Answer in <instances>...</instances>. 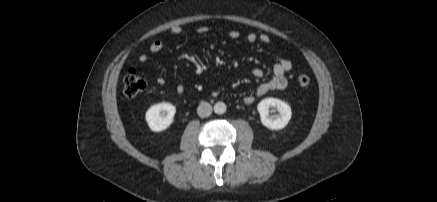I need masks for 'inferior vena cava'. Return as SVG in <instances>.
<instances>
[{"label": "inferior vena cava", "mask_w": 437, "mask_h": 202, "mask_svg": "<svg viewBox=\"0 0 437 202\" xmlns=\"http://www.w3.org/2000/svg\"><path fill=\"white\" fill-rule=\"evenodd\" d=\"M212 113V106L208 102H201L197 108V114L202 117H208Z\"/></svg>", "instance_id": "602c4592"}]
</instances>
